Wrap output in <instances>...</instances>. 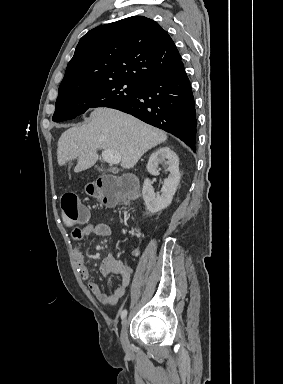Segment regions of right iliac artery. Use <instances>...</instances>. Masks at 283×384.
Here are the masks:
<instances>
[{
  "label": "right iliac artery",
  "instance_id": "right-iliac-artery-1",
  "mask_svg": "<svg viewBox=\"0 0 283 384\" xmlns=\"http://www.w3.org/2000/svg\"><path fill=\"white\" fill-rule=\"evenodd\" d=\"M126 316H127V310H123L121 313V319L124 320Z\"/></svg>",
  "mask_w": 283,
  "mask_h": 384
}]
</instances>
